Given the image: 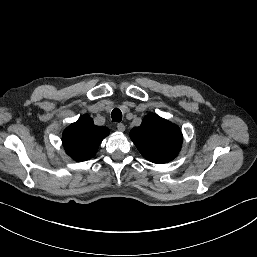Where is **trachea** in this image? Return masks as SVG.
I'll list each match as a JSON object with an SVG mask.
<instances>
[{"instance_id":"3493384b","label":"trachea","mask_w":257,"mask_h":257,"mask_svg":"<svg viewBox=\"0 0 257 257\" xmlns=\"http://www.w3.org/2000/svg\"><path fill=\"white\" fill-rule=\"evenodd\" d=\"M112 120L115 122H120L122 120V112L115 108L111 113Z\"/></svg>"}]
</instances>
